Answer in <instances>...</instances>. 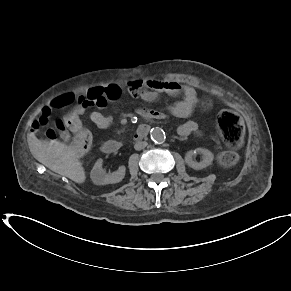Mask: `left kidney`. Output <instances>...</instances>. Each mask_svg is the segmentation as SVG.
Masks as SVG:
<instances>
[{
  "instance_id": "5707ae66",
  "label": "left kidney",
  "mask_w": 291,
  "mask_h": 291,
  "mask_svg": "<svg viewBox=\"0 0 291 291\" xmlns=\"http://www.w3.org/2000/svg\"><path fill=\"white\" fill-rule=\"evenodd\" d=\"M196 153H201L203 155V160L200 162H196L193 160V156ZM214 155L207 149L198 148L196 150H190L185 155L186 164L194 170H201L209 166L213 161Z\"/></svg>"
}]
</instances>
